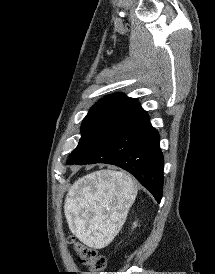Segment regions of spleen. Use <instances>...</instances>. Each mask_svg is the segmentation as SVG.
I'll return each mask as SVG.
<instances>
[{
    "mask_svg": "<svg viewBox=\"0 0 215 274\" xmlns=\"http://www.w3.org/2000/svg\"><path fill=\"white\" fill-rule=\"evenodd\" d=\"M137 186L130 175L101 171L78 179L70 188L65 215L78 238L102 246L113 237V222L121 221L133 204Z\"/></svg>",
    "mask_w": 215,
    "mask_h": 274,
    "instance_id": "spleen-1",
    "label": "spleen"
}]
</instances>
